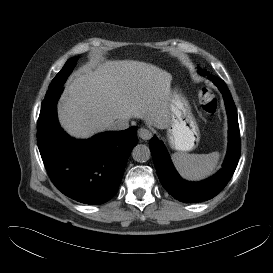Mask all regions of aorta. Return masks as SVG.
<instances>
[{
    "mask_svg": "<svg viewBox=\"0 0 273 273\" xmlns=\"http://www.w3.org/2000/svg\"><path fill=\"white\" fill-rule=\"evenodd\" d=\"M132 157L135 161L144 163L151 157V152L148 146L144 144H138L132 150Z\"/></svg>",
    "mask_w": 273,
    "mask_h": 273,
    "instance_id": "aorta-1",
    "label": "aorta"
}]
</instances>
